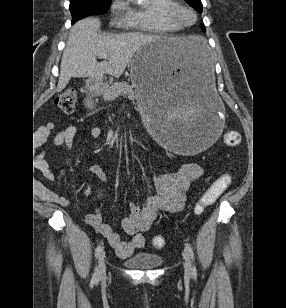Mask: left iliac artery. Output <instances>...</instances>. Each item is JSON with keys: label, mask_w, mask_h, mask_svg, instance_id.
<instances>
[{"label": "left iliac artery", "mask_w": 286, "mask_h": 308, "mask_svg": "<svg viewBox=\"0 0 286 308\" xmlns=\"http://www.w3.org/2000/svg\"><path fill=\"white\" fill-rule=\"evenodd\" d=\"M185 248H186L187 252L189 253V255H190L192 261L194 262V261H195V257H194V252H193L191 246H189L188 244H186V245H185ZM192 271H193L194 274L197 272L195 265L193 266Z\"/></svg>", "instance_id": "44dca946"}]
</instances>
